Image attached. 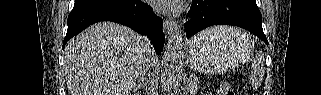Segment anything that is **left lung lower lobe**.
Returning a JSON list of instances; mask_svg holds the SVG:
<instances>
[{
	"mask_svg": "<svg viewBox=\"0 0 321 95\" xmlns=\"http://www.w3.org/2000/svg\"><path fill=\"white\" fill-rule=\"evenodd\" d=\"M185 24L186 37L212 25H233L249 30L267 45L262 16L255 0H192Z\"/></svg>",
	"mask_w": 321,
	"mask_h": 95,
	"instance_id": "left-lung-lower-lobe-1",
	"label": "left lung lower lobe"
}]
</instances>
